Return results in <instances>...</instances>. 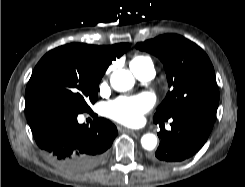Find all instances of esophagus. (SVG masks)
Masks as SVG:
<instances>
[{
	"mask_svg": "<svg viewBox=\"0 0 245 187\" xmlns=\"http://www.w3.org/2000/svg\"><path fill=\"white\" fill-rule=\"evenodd\" d=\"M121 131L123 132H128V133H139L140 130H132V129H128V128H120Z\"/></svg>",
	"mask_w": 245,
	"mask_h": 187,
	"instance_id": "esophagus-1",
	"label": "esophagus"
}]
</instances>
